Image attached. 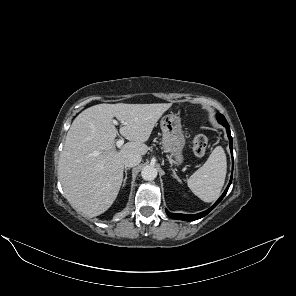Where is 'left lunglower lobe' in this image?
<instances>
[{
    "mask_svg": "<svg viewBox=\"0 0 296 296\" xmlns=\"http://www.w3.org/2000/svg\"><path fill=\"white\" fill-rule=\"evenodd\" d=\"M220 124H222L223 126L226 127V130H227V135H228V138H229V141H230V151L232 153V157H233V147H232V137H231V133H230V127L227 123V121H218ZM231 182H232V175H231V179H230V182L226 188V190L224 191V193L221 195V197L214 203L213 206H211L209 209H207L206 211H203L201 213H198V214H194V215H186V214H179V213H170L168 210H166V213L169 217L173 218V219H179V220H184V221H194V220H197V219H200L204 216H206L214 207H216L220 201L223 199V197L226 195L230 185H231Z\"/></svg>",
    "mask_w": 296,
    "mask_h": 296,
    "instance_id": "1",
    "label": "left lung lower lobe"
}]
</instances>
